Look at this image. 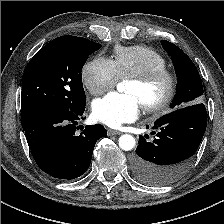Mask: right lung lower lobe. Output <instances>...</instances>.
Masks as SVG:
<instances>
[{
	"mask_svg": "<svg viewBox=\"0 0 224 224\" xmlns=\"http://www.w3.org/2000/svg\"><path fill=\"white\" fill-rule=\"evenodd\" d=\"M85 105L75 110L48 109L22 118V127L35 162L52 177L71 180L89 168L98 139L107 135L101 125H87L75 133Z\"/></svg>",
	"mask_w": 224,
	"mask_h": 224,
	"instance_id": "1",
	"label": "right lung lower lobe"
}]
</instances>
